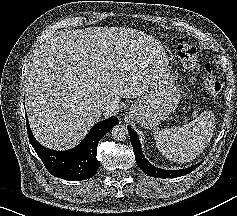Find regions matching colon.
<instances>
[{"instance_id":"5ec220e1","label":"colon","mask_w":237,"mask_h":216,"mask_svg":"<svg viewBox=\"0 0 237 216\" xmlns=\"http://www.w3.org/2000/svg\"><path fill=\"white\" fill-rule=\"evenodd\" d=\"M177 53L186 68L201 69L206 73L208 83L215 86L216 90H219V83L211 77L210 66L202 62V59L197 54L196 48L190 42L179 39L177 42Z\"/></svg>"}]
</instances>
